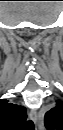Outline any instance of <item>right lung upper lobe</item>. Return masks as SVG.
I'll return each instance as SVG.
<instances>
[{
    "label": "right lung upper lobe",
    "instance_id": "obj_1",
    "mask_svg": "<svg viewBox=\"0 0 63 130\" xmlns=\"http://www.w3.org/2000/svg\"><path fill=\"white\" fill-rule=\"evenodd\" d=\"M27 118L26 109L23 106L12 104L3 99L0 101V123L7 130H22Z\"/></svg>",
    "mask_w": 63,
    "mask_h": 130
}]
</instances>
